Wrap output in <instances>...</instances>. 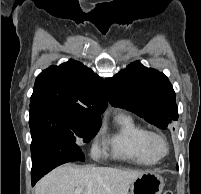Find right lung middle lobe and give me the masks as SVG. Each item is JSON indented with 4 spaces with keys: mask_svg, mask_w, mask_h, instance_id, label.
<instances>
[{
    "mask_svg": "<svg viewBox=\"0 0 201 194\" xmlns=\"http://www.w3.org/2000/svg\"><path fill=\"white\" fill-rule=\"evenodd\" d=\"M29 125L32 136L45 132L69 141L82 139L88 143L97 134L101 119L76 116L63 104L43 102L30 105ZM84 160L83 153H79L71 161Z\"/></svg>",
    "mask_w": 201,
    "mask_h": 194,
    "instance_id": "obj_1",
    "label": "right lung middle lobe"
}]
</instances>
